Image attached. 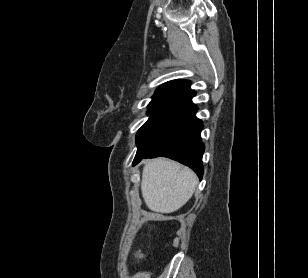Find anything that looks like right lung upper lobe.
Instances as JSON below:
<instances>
[{"label":"right lung upper lobe","mask_w":308,"mask_h":278,"mask_svg":"<svg viewBox=\"0 0 308 278\" xmlns=\"http://www.w3.org/2000/svg\"><path fill=\"white\" fill-rule=\"evenodd\" d=\"M195 92L186 80H172L161 85L149 103V115L183 116L196 105L191 99Z\"/></svg>","instance_id":"cb5924a9"}]
</instances>
